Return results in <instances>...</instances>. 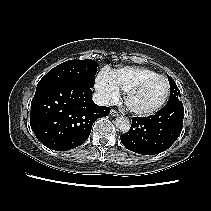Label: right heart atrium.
Masks as SVG:
<instances>
[{
  "instance_id": "d8ad5b80",
  "label": "right heart atrium",
  "mask_w": 211,
  "mask_h": 211,
  "mask_svg": "<svg viewBox=\"0 0 211 211\" xmlns=\"http://www.w3.org/2000/svg\"><path fill=\"white\" fill-rule=\"evenodd\" d=\"M100 99L105 103H114L120 97V90L116 86L110 72L104 70L99 73L95 83Z\"/></svg>"
}]
</instances>
